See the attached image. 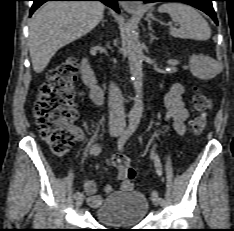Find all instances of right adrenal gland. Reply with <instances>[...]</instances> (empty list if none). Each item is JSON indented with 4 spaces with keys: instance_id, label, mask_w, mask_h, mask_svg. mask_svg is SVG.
Wrapping results in <instances>:
<instances>
[{
    "instance_id": "obj_1",
    "label": "right adrenal gland",
    "mask_w": 234,
    "mask_h": 231,
    "mask_svg": "<svg viewBox=\"0 0 234 231\" xmlns=\"http://www.w3.org/2000/svg\"><path fill=\"white\" fill-rule=\"evenodd\" d=\"M104 22H107V20L102 19V21H101V26H104Z\"/></svg>"
}]
</instances>
